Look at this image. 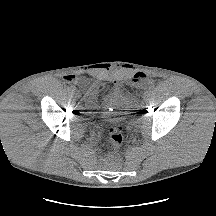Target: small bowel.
<instances>
[{
    "mask_svg": "<svg viewBox=\"0 0 216 216\" xmlns=\"http://www.w3.org/2000/svg\"><path fill=\"white\" fill-rule=\"evenodd\" d=\"M144 77H145V75L143 74V73H137V74H135L134 76H133V81L134 82H139V81H141V80H143L144 79ZM78 76H75V75H69V76H65V80L67 81V82H69V83H71V82H74V81H76V80H78ZM97 88V85L96 84H91L90 86H89V90H95Z\"/></svg>",
    "mask_w": 216,
    "mask_h": 216,
    "instance_id": "1",
    "label": "small bowel"
}]
</instances>
